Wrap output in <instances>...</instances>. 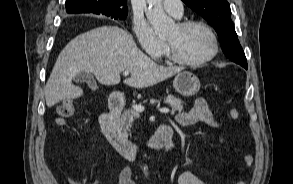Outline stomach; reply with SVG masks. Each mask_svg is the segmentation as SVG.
Returning <instances> with one entry per match:
<instances>
[{
    "label": "stomach",
    "instance_id": "obj_1",
    "mask_svg": "<svg viewBox=\"0 0 293 184\" xmlns=\"http://www.w3.org/2000/svg\"><path fill=\"white\" fill-rule=\"evenodd\" d=\"M173 87L182 96L190 97L200 90V81L193 73L182 71L174 78Z\"/></svg>",
    "mask_w": 293,
    "mask_h": 184
}]
</instances>
